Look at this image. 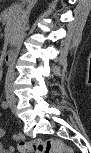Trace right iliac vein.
Listing matches in <instances>:
<instances>
[{"instance_id":"right-iliac-vein-1","label":"right iliac vein","mask_w":91,"mask_h":153,"mask_svg":"<svg viewBox=\"0 0 91 153\" xmlns=\"http://www.w3.org/2000/svg\"><path fill=\"white\" fill-rule=\"evenodd\" d=\"M6 99H7L8 104L10 105V107L15 109L17 101H16V98L14 97V95L10 92H7Z\"/></svg>"}]
</instances>
